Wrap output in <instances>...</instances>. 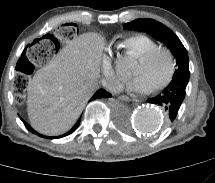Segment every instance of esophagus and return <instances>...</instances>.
Wrapping results in <instances>:
<instances>
[{
  "label": "esophagus",
  "instance_id": "obj_1",
  "mask_svg": "<svg viewBox=\"0 0 215 183\" xmlns=\"http://www.w3.org/2000/svg\"><path fill=\"white\" fill-rule=\"evenodd\" d=\"M118 98L122 101H125V102L131 101V98L126 96V95H120V96H118Z\"/></svg>",
  "mask_w": 215,
  "mask_h": 183
}]
</instances>
